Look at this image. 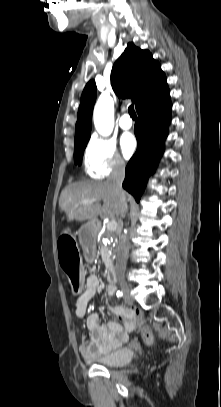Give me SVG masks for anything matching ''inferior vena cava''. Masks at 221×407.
Returning <instances> with one entry per match:
<instances>
[{
  "instance_id": "1",
  "label": "inferior vena cava",
  "mask_w": 221,
  "mask_h": 407,
  "mask_svg": "<svg viewBox=\"0 0 221 407\" xmlns=\"http://www.w3.org/2000/svg\"><path fill=\"white\" fill-rule=\"evenodd\" d=\"M125 176V163L121 160H117L114 165L110 176L107 179V183L113 188L120 204L121 212L120 215L122 218L125 217L128 205L126 201V195L122 188V183ZM129 246L127 238L124 234H119V244L117 248V257H116V272L122 274L126 268V261L128 257Z\"/></svg>"
}]
</instances>
